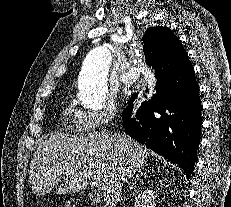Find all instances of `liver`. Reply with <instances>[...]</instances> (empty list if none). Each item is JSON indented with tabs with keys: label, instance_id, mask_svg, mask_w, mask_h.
<instances>
[{
	"label": "liver",
	"instance_id": "1",
	"mask_svg": "<svg viewBox=\"0 0 231 207\" xmlns=\"http://www.w3.org/2000/svg\"><path fill=\"white\" fill-rule=\"evenodd\" d=\"M151 154L125 133L101 131L71 138L51 134L38 143L29 182L34 194L44 195L54 188L58 194L76 193L87 186V180L97 181L106 205L116 207L124 183Z\"/></svg>",
	"mask_w": 231,
	"mask_h": 207
}]
</instances>
